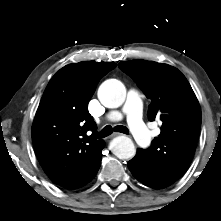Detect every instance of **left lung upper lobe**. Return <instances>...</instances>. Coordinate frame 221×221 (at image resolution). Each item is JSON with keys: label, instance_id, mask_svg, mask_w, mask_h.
<instances>
[{"label": "left lung upper lobe", "instance_id": "left-lung-upper-lobe-1", "mask_svg": "<svg viewBox=\"0 0 221 221\" xmlns=\"http://www.w3.org/2000/svg\"><path fill=\"white\" fill-rule=\"evenodd\" d=\"M128 74L151 100L148 118L162 122L161 133L149 149H142L157 183L165 188L189 168L201 126L198 100L185 76L162 63L135 59L122 61Z\"/></svg>", "mask_w": 221, "mask_h": 221}]
</instances>
